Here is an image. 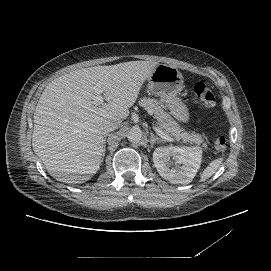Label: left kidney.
Wrapping results in <instances>:
<instances>
[{
	"label": "left kidney",
	"instance_id": "obj_1",
	"mask_svg": "<svg viewBox=\"0 0 271 271\" xmlns=\"http://www.w3.org/2000/svg\"><path fill=\"white\" fill-rule=\"evenodd\" d=\"M201 159L200 147H158L153 152L158 173L173 184L190 183L200 168ZM172 165L174 167L170 168Z\"/></svg>",
	"mask_w": 271,
	"mask_h": 271
}]
</instances>
